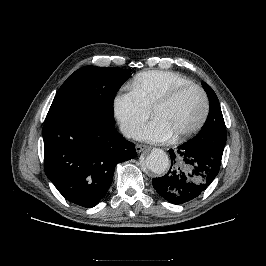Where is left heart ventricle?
<instances>
[{
    "mask_svg": "<svg viewBox=\"0 0 266 266\" xmlns=\"http://www.w3.org/2000/svg\"><path fill=\"white\" fill-rule=\"evenodd\" d=\"M203 111V98L199 91L188 90L171 104L160 108L154 118L163 121L173 134L192 127Z\"/></svg>",
    "mask_w": 266,
    "mask_h": 266,
    "instance_id": "1",
    "label": "left heart ventricle"
}]
</instances>
